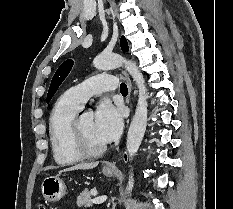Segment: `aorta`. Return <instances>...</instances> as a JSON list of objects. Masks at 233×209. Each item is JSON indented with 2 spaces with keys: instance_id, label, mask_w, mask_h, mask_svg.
Returning a JSON list of instances; mask_svg holds the SVG:
<instances>
[{
  "instance_id": "1",
  "label": "aorta",
  "mask_w": 233,
  "mask_h": 209,
  "mask_svg": "<svg viewBox=\"0 0 233 209\" xmlns=\"http://www.w3.org/2000/svg\"><path fill=\"white\" fill-rule=\"evenodd\" d=\"M94 66L100 70H109L114 69L120 66H124L128 73L132 76L135 84L138 88V103L135 110V114L133 116L132 122L130 124L128 134H127V142H126V150L130 160H132L133 156L137 153L142 139L144 137V133L146 131L147 126V90L145 87V81L142 73L139 71L136 63L123 58L118 54H100L98 55L94 61ZM134 186L133 173L129 176V181L127 185V191L130 193Z\"/></svg>"
}]
</instances>
